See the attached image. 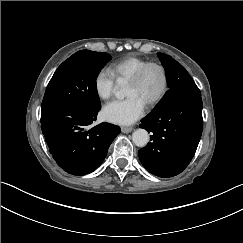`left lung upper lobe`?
I'll list each match as a JSON object with an SVG mask.
<instances>
[{
    "label": "left lung upper lobe",
    "instance_id": "1",
    "mask_svg": "<svg viewBox=\"0 0 243 243\" xmlns=\"http://www.w3.org/2000/svg\"><path fill=\"white\" fill-rule=\"evenodd\" d=\"M158 56L166 71L169 90L151 113L156 112L168 101L177 96L186 94L201 95V92L192 77L180 63L164 53H158Z\"/></svg>",
    "mask_w": 243,
    "mask_h": 243
}]
</instances>
